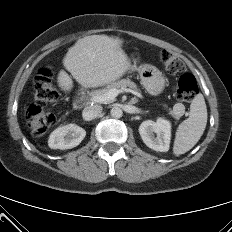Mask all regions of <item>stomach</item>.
Instances as JSON below:
<instances>
[{
    "label": "stomach",
    "instance_id": "obj_1",
    "mask_svg": "<svg viewBox=\"0 0 232 232\" xmlns=\"http://www.w3.org/2000/svg\"><path fill=\"white\" fill-rule=\"evenodd\" d=\"M129 71H138L141 79V83L152 95L160 94L165 87V79L162 73L152 65H142L137 67L136 60L130 61Z\"/></svg>",
    "mask_w": 232,
    "mask_h": 232
}]
</instances>
